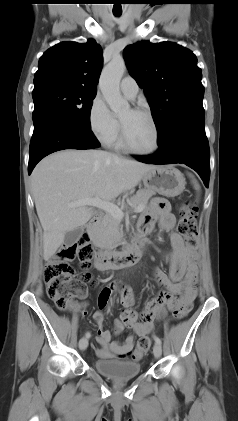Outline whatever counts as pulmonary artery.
<instances>
[{
  "label": "pulmonary artery",
  "instance_id": "pulmonary-artery-1",
  "mask_svg": "<svg viewBox=\"0 0 238 421\" xmlns=\"http://www.w3.org/2000/svg\"><path fill=\"white\" fill-rule=\"evenodd\" d=\"M120 89L127 98L133 99L139 91V86L134 78L127 76L122 79Z\"/></svg>",
  "mask_w": 238,
  "mask_h": 421
}]
</instances>
